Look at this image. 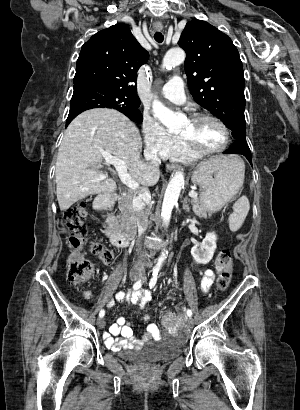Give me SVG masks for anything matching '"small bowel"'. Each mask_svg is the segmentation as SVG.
<instances>
[{
	"instance_id": "1",
	"label": "small bowel",
	"mask_w": 300,
	"mask_h": 410,
	"mask_svg": "<svg viewBox=\"0 0 300 410\" xmlns=\"http://www.w3.org/2000/svg\"><path fill=\"white\" fill-rule=\"evenodd\" d=\"M216 274L213 270L207 269L201 278L200 286L201 290L207 293L214 280ZM90 291H84L83 296L85 298L90 297ZM118 301L130 302L137 304L140 308H144L148 301L151 299V293L148 290H139L132 293L121 292L117 296ZM114 303L110 302L109 306H113ZM147 319V317H144ZM174 328V327H173ZM159 338V329L155 324H149L146 332L141 339L134 337L133 329L128 321L119 317L109 328V332L104 335L105 344L111 350L117 351L121 348H135L141 346L143 343L155 340Z\"/></svg>"
}]
</instances>
